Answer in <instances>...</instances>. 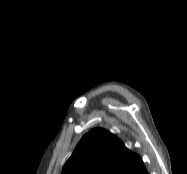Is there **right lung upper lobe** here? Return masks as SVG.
Masks as SVG:
<instances>
[{"instance_id":"1","label":"right lung upper lobe","mask_w":187,"mask_h":174,"mask_svg":"<svg viewBox=\"0 0 187 174\" xmlns=\"http://www.w3.org/2000/svg\"><path fill=\"white\" fill-rule=\"evenodd\" d=\"M62 174H148L139 155L110 132L95 128L85 134Z\"/></svg>"}]
</instances>
